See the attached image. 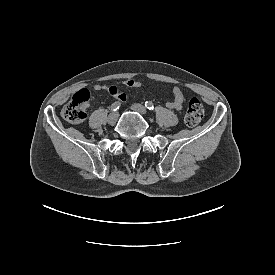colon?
<instances>
[{"label": "colon", "mask_w": 275, "mask_h": 275, "mask_svg": "<svg viewBox=\"0 0 275 275\" xmlns=\"http://www.w3.org/2000/svg\"><path fill=\"white\" fill-rule=\"evenodd\" d=\"M90 98V93L86 89L76 92L72 99L67 102L62 109V116L71 123H81L86 118V107ZM204 116V106L197 98L189 101L185 113V123L188 126L197 125Z\"/></svg>", "instance_id": "1"}]
</instances>
